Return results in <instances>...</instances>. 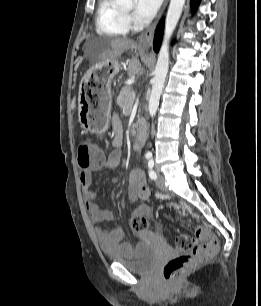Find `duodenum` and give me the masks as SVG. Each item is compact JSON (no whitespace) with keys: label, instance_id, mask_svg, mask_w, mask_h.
I'll return each mask as SVG.
<instances>
[{"label":"duodenum","instance_id":"410a0bca","mask_svg":"<svg viewBox=\"0 0 261 306\" xmlns=\"http://www.w3.org/2000/svg\"><path fill=\"white\" fill-rule=\"evenodd\" d=\"M137 129H138V135L133 143V147L136 150H141L143 147V139L145 137V122L143 119H138L136 121Z\"/></svg>","mask_w":261,"mask_h":306}]
</instances>
